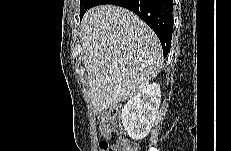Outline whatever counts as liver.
<instances>
[{"mask_svg":"<svg viewBox=\"0 0 231 151\" xmlns=\"http://www.w3.org/2000/svg\"><path fill=\"white\" fill-rule=\"evenodd\" d=\"M79 36L95 113L135 96L162 68L158 37L125 8L99 5L87 10Z\"/></svg>","mask_w":231,"mask_h":151,"instance_id":"obj_1","label":"liver"}]
</instances>
